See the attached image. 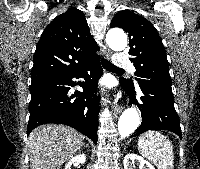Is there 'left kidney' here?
<instances>
[{"instance_id":"left-kidney-1","label":"left kidney","mask_w":200,"mask_h":169,"mask_svg":"<svg viewBox=\"0 0 200 169\" xmlns=\"http://www.w3.org/2000/svg\"><path fill=\"white\" fill-rule=\"evenodd\" d=\"M123 165L124 169H133L135 165L139 166L140 169H155L152 164L137 154H127L124 157Z\"/></svg>"}]
</instances>
